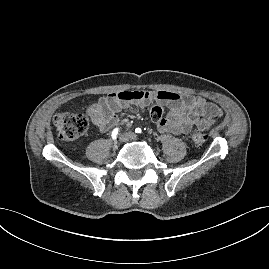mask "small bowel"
<instances>
[{
  "instance_id": "obj_1",
  "label": "small bowel",
  "mask_w": 269,
  "mask_h": 269,
  "mask_svg": "<svg viewBox=\"0 0 269 269\" xmlns=\"http://www.w3.org/2000/svg\"><path fill=\"white\" fill-rule=\"evenodd\" d=\"M157 101L169 107V113L152 118L161 132L175 135L188 134L193 126L201 130L212 128L222 116V110L214 103L196 96H180L174 92H147L140 90L110 93L90 105L86 114L102 131H108L119 123L117 113L122 110L135 112Z\"/></svg>"
}]
</instances>
